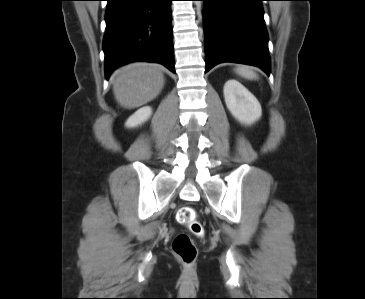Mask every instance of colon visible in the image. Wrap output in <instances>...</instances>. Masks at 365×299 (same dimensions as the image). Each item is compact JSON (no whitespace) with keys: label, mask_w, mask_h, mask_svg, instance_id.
Wrapping results in <instances>:
<instances>
[{"label":"colon","mask_w":365,"mask_h":299,"mask_svg":"<svg viewBox=\"0 0 365 299\" xmlns=\"http://www.w3.org/2000/svg\"><path fill=\"white\" fill-rule=\"evenodd\" d=\"M177 221L186 226L189 231L195 235L203 234V226L197 219V213L191 206L180 208L177 213ZM174 254L186 265H191L197 258V247L187 233L178 234L172 242Z\"/></svg>","instance_id":"obj_1"}]
</instances>
